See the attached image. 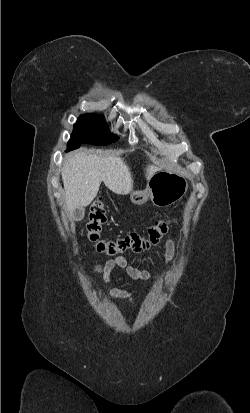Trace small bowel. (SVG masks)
Listing matches in <instances>:
<instances>
[{
	"instance_id": "1",
	"label": "small bowel",
	"mask_w": 250,
	"mask_h": 413,
	"mask_svg": "<svg viewBox=\"0 0 250 413\" xmlns=\"http://www.w3.org/2000/svg\"><path fill=\"white\" fill-rule=\"evenodd\" d=\"M175 256V243L173 240H168L165 246V263L170 262ZM115 267H119L126 271V273L135 280H149L151 278V273L145 269H139L127 261L123 256H116L114 258L108 259L103 267V281L108 284L111 279V272ZM111 297L115 299H127L132 301V293L126 289L111 288L109 290Z\"/></svg>"
}]
</instances>
